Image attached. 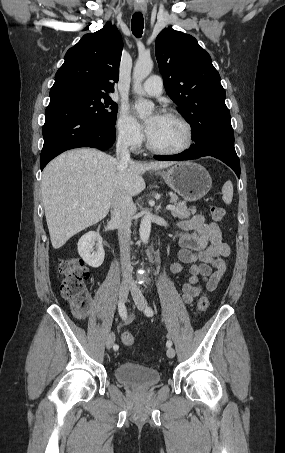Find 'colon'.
<instances>
[{"label":"colon","mask_w":285,"mask_h":453,"mask_svg":"<svg viewBox=\"0 0 285 453\" xmlns=\"http://www.w3.org/2000/svg\"><path fill=\"white\" fill-rule=\"evenodd\" d=\"M210 214L215 221L220 222L224 217V210L221 207L212 206ZM58 270L63 276L61 283L62 297L69 302L77 316H85L91 306V296L86 287L89 273L84 261L77 257L62 258L58 261ZM208 307L209 297L206 293H203L197 301L196 311L202 314L207 311ZM122 342L126 346H132L134 344L133 335L128 332L124 333Z\"/></svg>","instance_id":"5ec220e1"}]
</instances>
